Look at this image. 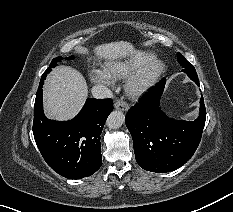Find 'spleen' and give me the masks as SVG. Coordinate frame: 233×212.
I'll return each instance as SVG.
<instances>
[{
	"instance_id": "1",
	"label": "spleen",
	"mask_w": 233,
	"mask_h": 212,
	"mask_svg": "<svg viewBox=\"0 0 233 212\" xmlns=\"http://www.w3.org/2000/svg\"><path fill=\"white\" fill-rule=\"evenodd\" d=\"M168 114H169L170 116H175V113L172 112V111H168Z\"/></svg>"
}]
</instances>
